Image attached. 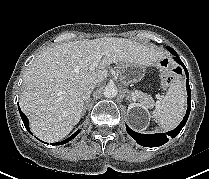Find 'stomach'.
I'll list each match as a JSON object with an SVG mask.
<instances>
[{"label": "stomach", "instance_id": "1", "mask_svg": "<svg viewBox=\"0 0 209 179\" xmlns=\"http://www.w3.org/2000/svg\"><path fill=\"white\" fill-rule=\"evenodd\" d=\"M120 81L128 86L139 82L145 75V67L136 63H125L119 66Z\"/></svg>", "mask_w": 209, "mask_h": 179}]
</instances>
